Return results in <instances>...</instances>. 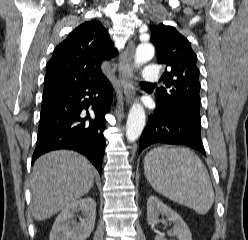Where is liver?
<instances>
[{"label":"liver","instance_id":"6515ba94","mask_svg":"<svg viewBox=\"0 0 248 240\" xmlns=\"http://www.w3.org/2000/svg\"><path fill=\"white\" fill-rule=\"evenodd\" d=\"M94 173L91 163L73 151H52L38 158L31 178L34 218L48 219L84 196L93 186Z\"/></svg>","mask_w":248,"mask_h":240}]
</instances>
